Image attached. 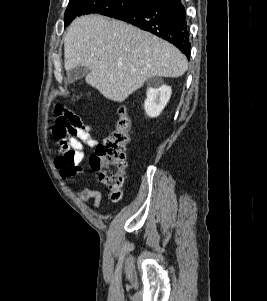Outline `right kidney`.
<instances>
[{"instance_id":"ca27d5eb","label":"right kidney","mask_w":267,"mask_h":301,"mask_svg":"<svg viewBox=\"0 0 267 301\" xmlns=\"http://www.w3.org/2000/svg\"><path fill=\"white\" fill-rule=\"evenodd\" d=\"M171 93V87L166 85L155 89H149L144 103L146 114L151 118L159 116L168 103Z\"/></svg>"}]
</instances>
